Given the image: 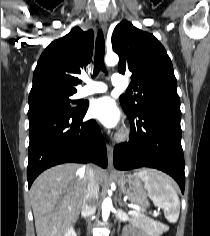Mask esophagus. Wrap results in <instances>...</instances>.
Listing matches in <instances>:
<instances>
[{"mask_svg":"<svg viewBox=\"0 0 210 236\" xmlns=\"http://www.w3.org/2000/svg\"><path fill=\"white\" fill-rule=\"evenodd\" d=\"M99 23L102 28V31L105 33L107 30V18L104 13L99 15ZM107 157H108V168L113 169V147L110 144H107Z\"/></svg>","mask_w":210,"mask_h":236,"instance_id":"1","label":"esophagus"}]
</instances>
